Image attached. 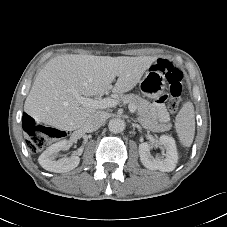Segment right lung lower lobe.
<instances>
[{
    "label": "right lung lower lobe",
    "instance_id": "obj_1",
    "mask_svg": "<svg viewBox=\"0 0 227 227\" xmlns=\"http://www.w3.org/2000/svg\"><path fill=\"white\" fill-rule=\"evenodd\" d=\"M30 119L31 118L26 113H24L23 114V126L26 125Z\"/></svg>",
    "mask_w": 227,
    "mask_h": 227
}]
</instances>
